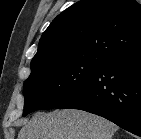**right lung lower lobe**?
Here are the masks:
<instances>
[{
	"label": "right lung lower lobe",
	"instance_id": "right-lung-lower-lobe-1",
	"mask_svg": "<svg viewBox=\"0 0 141 139\" xmlns=\"http://www.w3.org/2000/svg\"><path fill=\"white\" fill-rule=\"evenodd\" d=\"M55 108L100 115L141 137V44L109 58L87 84Z\"/></svg>",
	"mask_w": 141,
	"mask_h": 139
}]
</instances>
